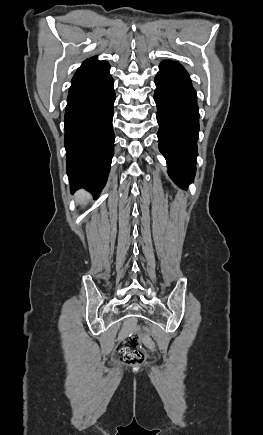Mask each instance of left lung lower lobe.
<instances>
[{"label":"left lung lower lobe","instance_id":"0a47b994","mask_svg":"<svg viewBox=\"0 0 263 435\" xmlns=\"http://www.w3.org/2000/svg\"><path fill=\"white\" fill-rule=\"evenodd\" d=\"M155 84L159 150L165 156L170 177L186 190L193 182L198 154L196 91L186 70L173 61L160 64Z\"/></svg>","mask_w":263,"mask_h":435}]
</instances>
